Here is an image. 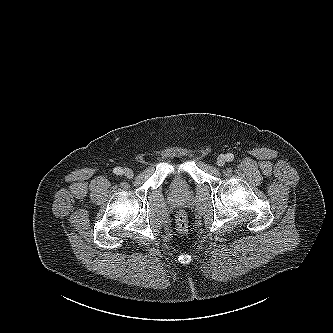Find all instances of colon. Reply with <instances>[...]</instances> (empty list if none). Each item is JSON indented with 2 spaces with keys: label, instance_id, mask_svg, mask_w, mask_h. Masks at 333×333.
<instances>
[{
  "label": "colon",
  "instance_id": "1",
  "mask_svg": "<svg viewBox=\"0 0 333 333\" xmlns=\"http://www.w3.org/2000/svg\"><path fill=\"white\" fill-rule=\"evenodd\" d=\"M188 218L184 213H180L176 218V228L180 233H185L188 230Z\"/></svg>",
  "mask_w": 333,
  "mask_h": 333
}]
</instances>
